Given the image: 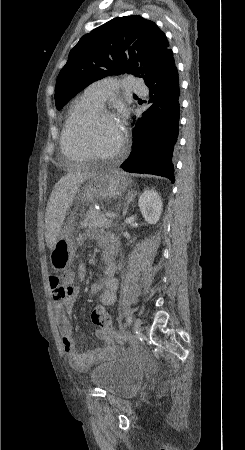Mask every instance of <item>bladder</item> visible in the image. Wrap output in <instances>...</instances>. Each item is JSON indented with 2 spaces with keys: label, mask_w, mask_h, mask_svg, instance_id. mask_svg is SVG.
Instances as JSON below:
<instances>
[{
  "label": "bladder",
  "mask_w": 245,
  "mask_h": 450,
  "mask_svg": "<svg viewBox=\"0 0 245 450\" xmlns=\"http://www.w3.org/2000/svg\"><path fill=\"white\" fill-rule=\"evenodd\" d=\"M88 381L108 393L129 396L140 385L141 373L129 359H119L95 366Z\"/></svg>",
  "instance_id": "31cf9c89"
}]
</instances>
